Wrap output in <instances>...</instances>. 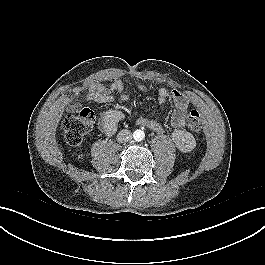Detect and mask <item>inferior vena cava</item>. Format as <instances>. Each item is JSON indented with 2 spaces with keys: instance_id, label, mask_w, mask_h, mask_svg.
<instances>
[{
  "instance_id": "inferior-vena-cava-1",
  "label": "inferior vena cava",
  "mask_w": 265,
  "mask_h": 265,
  "mask_svg": "<svg viewBox=\"0 0 265 265\" xmlns=\"http://www.w3.org/2000/svg\"><path fill=\"white\" fill-rule=\"evenodd\" d=\"M131 139H132V133L129 130H127V129L121 130L118 133L117 138H116V140L119 143L128 142Z\"/></svg>"
}]
</instances>
